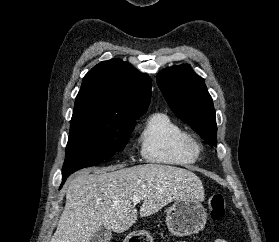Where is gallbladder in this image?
I'll return each instance as SVG.
<instances>
[{
  "label": "gallbladder",
  "mask_w": 279,
  "mask_h": 242,
  "mask_svg": "<svg viewBox=\"0 0 279 242\" xmlns=\"http://www.w3.org/2000/svg\"><path fill=\"white\" fill-rule=\"evenodd\" d=\"M112 238L111 230L101 227L91 238V242H110Z\"/></svg>",
  "instance_id": "bac80fb5"
}]
</instances>
